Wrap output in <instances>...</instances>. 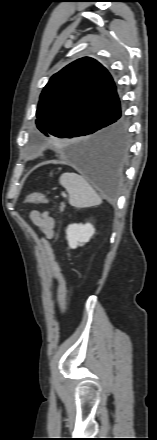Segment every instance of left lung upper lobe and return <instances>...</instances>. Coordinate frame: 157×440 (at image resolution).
Segmentation results:
<instances>
[{"instance_id": "obj_1", "label": "left lung upper lobe", "mask_w": 157, "mask_h": 440, "mask_svg": "<svg viewBox=\"0 0 157 440\" xmlns=\"http://www.w3.org/2000/svg\"><path fill=\"white\" fill-rule=\"evenodd\" d=\"M121 109L114 81L99 62L80 58L54 74L44 87L36 111L37 128L59 144L95 136Z\"/></svg>"}]
</instances>
